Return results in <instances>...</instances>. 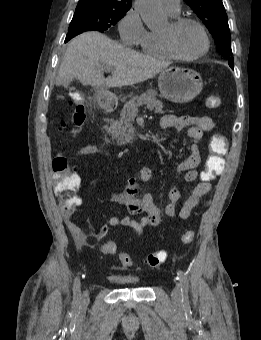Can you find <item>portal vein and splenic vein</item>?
Returning <instances> with one entry per match:
<instances>
[{
  "label": "portal vein and splenic vein",
  "instance_id": "portal-vein-and-splenic-vein-1",
  "mask_svg": "<svg viewBox=\"0 0 261 340\" xmlns=\"http://www.w3.org/2000/svg\"><path fill=\"white\" fill-rule=\"evenodd\" d=\"M105 71L106 72H110V71H112V69L111 68H106Z\"/></svg>",
  "mask_w": 261,
  "mask_h": 340
}]
</instances>
